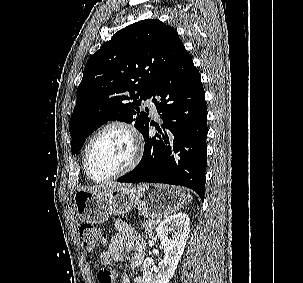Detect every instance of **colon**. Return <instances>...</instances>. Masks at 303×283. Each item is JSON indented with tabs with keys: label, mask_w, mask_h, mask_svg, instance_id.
Wrapping results in <instances>:
<instances>
[{
	"label": "colon",
	"mask_w": 303,
	"mask_h": 283,
	"mask_svg": "<svg viewBox=\"0 0 303 283\" xmlns=\"http://www.w3.org/2000/svg\"><path fill=\"white\" fill-rule=\"evenodd\" d=\"M84 248L88 253H96L107 241V233L92 225H84L80 230ZM117 272L114 269L105 268L98 273L99 283H115Z\"/></svg>",
	"instance_id": "5ec220e1"
}]
</instances>
